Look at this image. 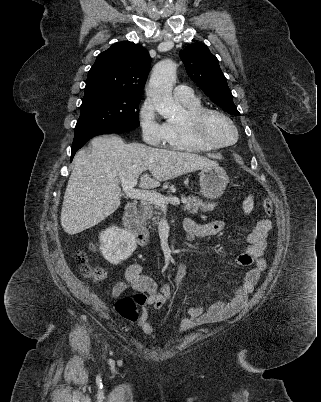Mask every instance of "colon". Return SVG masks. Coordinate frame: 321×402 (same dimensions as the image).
I'll return each mask as SVG.
<instances>
[{
	"instance_id": "5ec220e1",
	"label": "colon",
	"mask_w": 321,
	"mask_h": 402,
	"mask_svg": "<svg viewBox=\"0 0 321 402\" xmlns=\"http://www.w3.org/2000/svg\"><path fill=\"white\" fill-rule=\"evenodd\" d=\"M262 208L267 215H271L273 211L272 201L269 198H265L262 201ZM76 258L82 273L86 277L95 281H100L104 278L105 271L100 267L90 265L84 252H78ZM146 301L147 296L144 292H139L132 296H123L116 302L115 310L124 319L137 321L139 317L138 307L144 305Z\"/></svg>"
}]
</instances>
